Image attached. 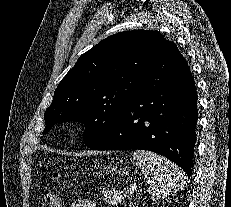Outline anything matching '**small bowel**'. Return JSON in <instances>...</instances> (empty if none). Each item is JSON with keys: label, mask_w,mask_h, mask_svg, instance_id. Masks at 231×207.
<instances>
[{"label": "small bowel", "mask_w": 231, "mask_h": 207, "mask_svg": "<svg viewBox=\"0 0 231 207\" xmlns=\"http://www.w3.org/2000/svg\"><path fill=\"white\" fill-rule=\"evenodd\" d=\"M70 207H96L95 203L90 199L77 198Z\"/></svg>", "instance_id": "small-bowel-1"}]
</instances>
